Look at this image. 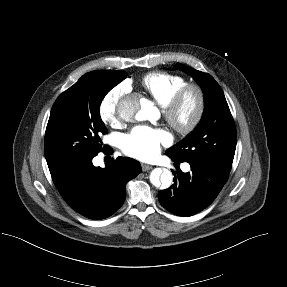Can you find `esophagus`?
<instances>
[{
  "label": "esophagus",
  "instance_id": "34e87169",
  "mask_svg": "<svg viewBox=\"0 0 287 287\" xmlns=\"http://www.w3.org/2000/svg\"><path fill=\"white\" fill-rule=\"evenodd\" d=\"M152 169V166L151 165H147V164H142V170L143 171H148Z\"/></svg>",
  "mask_w": 287,
  "mask_h": 287
}]
</instances>
